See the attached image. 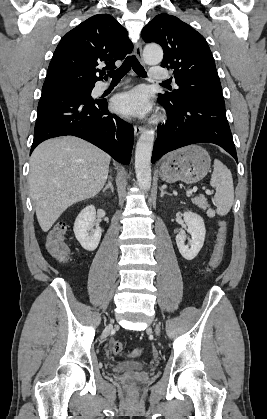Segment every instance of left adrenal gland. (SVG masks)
<instances>
[{
    "instance_id": "a2214340",
    "label": "left adrenal gland",
    "mask_w": 267,
    "mask_h": 419,
    "mask_svg": "<svg viewBox=\"0 0 267 419\" xmlns=\"http://www.w3.org/2000/svg\"><path fill=\"white\" fill-rule=\"evenodd\" d=\"M160 191H161V193H160V197L162 198L165 194H167V195H170L169 193H167L165 190H164V188H162V187H160Z\"/></svg>"
}]
</instances>
